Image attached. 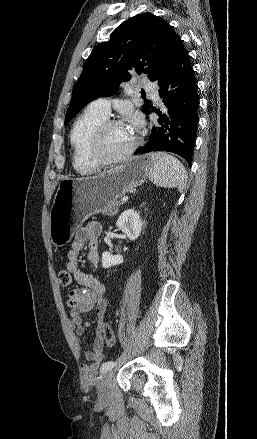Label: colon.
<instances>
[{"label": "colon", "mask_w": 257, "mask_h": 439, "mask_svg": "<svg viewBox=\"0 0 257 439\" xmlns=\"http://www.w3.org/2000/svg\"><path fill=\"white\" fill-rule=\"evenodd\" d=\"M59 283L63 287H68L72 283V276L66 270H61L58 274ZM98 333L108 344H113L115 341L114 333L107 323H102L98 326Z\"/></svg>", "instance_id": "obj_1"}]
</instances>
